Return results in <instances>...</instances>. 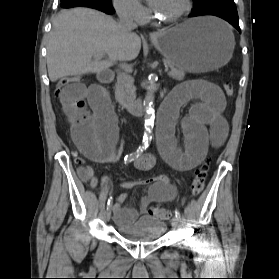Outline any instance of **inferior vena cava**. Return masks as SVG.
Instances as JSON below:
<instances>
[{"instance_id":"obj_1","label":"inferior vena cava","mask_w":279,"mask_h":279,"mask_svg":"<svg viewBox=\"0 0 279 279\" xmlns=\"http://www.w3.org/2000/svg\"><path fill=\"white\" fill-rule=\"evenodd\" d=\"M119 29L123 37L128 36L131 34L132 30L137 28L136 23H134L133 19L126 14H121L119 16Z\"/></svg>"}]
</instances>
